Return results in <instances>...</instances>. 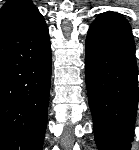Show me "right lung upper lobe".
I'll list each match as a JSON object with an SVG mask.
<instances>
[{
	"instance_id": "obj_1",
	"label": "right lung upper lobe",
	"mask_w": 139,
	"mask_h": 150,
	"mask_svg": "<svg viewBox=\"0 0 139 150\" xmlns=\"http://www.w3.org/2000/svg\"><path fill=\"white\" fill-rule=\"evenodd\" d=\"M37 10L31 0H9L0 10V30Z\"/></svg>"
}]
</instances>
